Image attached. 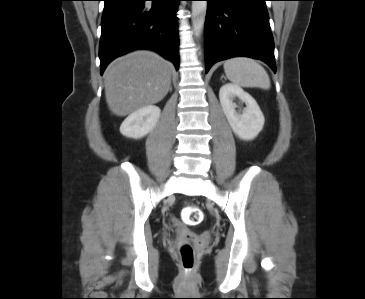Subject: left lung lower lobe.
I'll list each match as a JSON object with an SVG mask.
<instances>
[{
  "instance_id": "1",
  "label": "left lung lower lobe",
  "mask_w": 365,
  "mask_h": 299,
  "mask_svg": "<svg viewBox=\"0 0 365 299\" xmlns=\"http://www.w3.org/2000/svg\"><path fill=\"white\" fill-rule=\"evenodd\" d=\"M206 1V73L214 63L236 56L260 59L276 72L266 0Z\"/></svg>"
}]
</instances>
